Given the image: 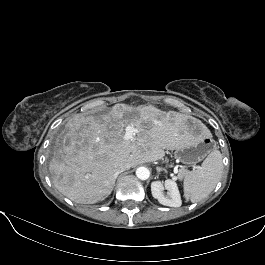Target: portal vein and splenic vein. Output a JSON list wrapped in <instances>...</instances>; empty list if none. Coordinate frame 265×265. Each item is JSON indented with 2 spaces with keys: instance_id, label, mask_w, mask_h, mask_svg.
<instances>
[{
  "instance_id": "18ae733b",
  "label": "portal vein and splenic vein",
  "mask_w": 265,
  "mask_h": 265,
  "mask_svg": "<svg viewBox=\"0 0 265 265\" xmlns=\"http://www.w3.org/2000/svg\"><path fill=\"white\" fill-rule=\"evenodd\" d=\"M138 132V130L133 125H127L125 128V140H132L135 134ZM169 167H172V165H169Z\"/></svg>"
}]
</instances>
